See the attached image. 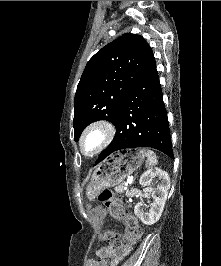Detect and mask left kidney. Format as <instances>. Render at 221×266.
Listing matches in <instances>:
<instances>
[{
  "mask_svg": "<svg viewBox=\"0 0 221 266\" xmlns=\"http://www.w3.org/2000/svg\"><path fill=\"white\" fill-rule=\"evenodd\" d=\"M139 183L145 189H143V192L140 191L138 193L141 201L135 206L134 212L142 223L153 225L160 219L163 212L170 189V177L162 169H148L140 177ZM154 183H158L157 188H152ZM156 190L158 196L155 194ZM148 193H152L153 203H151L149 211H145L146 205L143 203L142 198L147 197Z\"/></svg>",
  "mask_w": 221,
  "mask_h": 266,
  "instance_id": "left-kidney-1",
  "label": "left kidney"
}]
</instances>
